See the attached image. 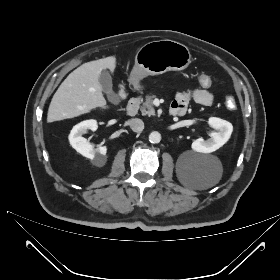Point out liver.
I'll use <instances>...</instances> for the list:
<instances>
[{"label": "liver", "mask_w": 280, "mask_h": 280, "mask_svg": "<svg viewBox=\"0 0 280 280\" xmlns=\"http://www.w3.org/2000/svg\"><path fill=\"white\" fill-rule=\"evenodd\" d=\"M116 57L109 56L82 64L61 83L49 105L47 122L74 118L93 109L109 108L99 81L103 70L114 72Z\"/></svg>", "instance_id": "6515ba94"}]
</instances>
